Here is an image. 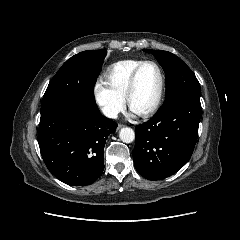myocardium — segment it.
Listing matches in <instances>:
<instances>
[{
	"mask_svg": "<svg viewBox=\"0 0 240 240\" xmlns=\"http://www.w3.org/2000/svg\"><path fill=\"white\" fill-rule=\"evenodd\" d=\"M145 65H153L157 69L158 74H159V79H160L158 92H157V95H156V98H155L153 104L146 111L138 113V115H140L142 117H149L152 114H154L157 111V109L159 108L160 103L162 101V97H163V93H164V87H165L164 72H163L161 66L157 62L152 61V60L142 61L133 70V72H132V74L129 78V82H128V86H127V90H126V94H125V99H126L127 105L130 107L131 97H132V95L135 91V88H136V83H137V78H138L139 72Z\"/></svg>",
	"mask_w": 240,
	"mask_h": 240,
	"instance_id": "f54148a6",
	"label": "myocardium"
}]
</instances>
